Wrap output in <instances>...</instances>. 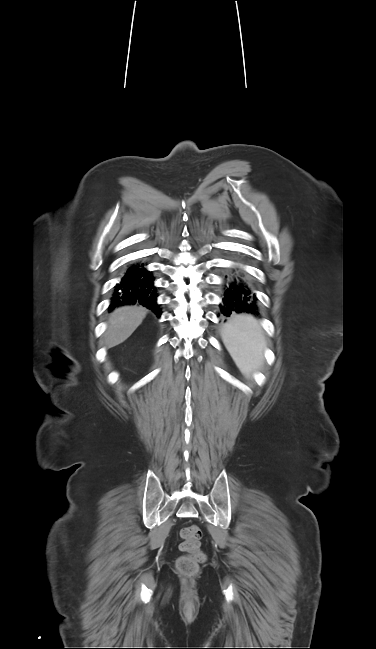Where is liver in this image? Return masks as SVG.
<instances>
[{
	"mask_svg": "<svg viewBox=\"0 0 376 649\" xmlns=\"http://www.w3.org/2000/svg\"><path fill=\"white\" fill-rule=\"evenodd\" d=\"M147 310L138 306H122L115 309L109 318L104 344L115 347L127 340L142 323Z\"/></svg>",
	"mask_w": 376,
	"mask_h": 649,
	"instance_id": "6515ba94",
	"label": "liver"
}]
</instances>
